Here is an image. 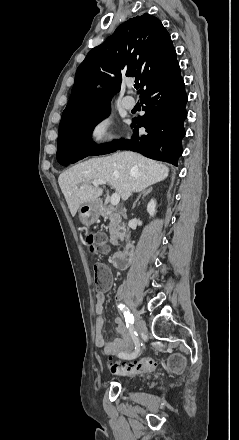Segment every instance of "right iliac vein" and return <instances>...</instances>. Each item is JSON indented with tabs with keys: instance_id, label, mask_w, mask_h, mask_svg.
<instances>
[{
	"instance_id": "1",
	"label": "right iliac vein",
	"mask_w": 239,
	"mask_h": 440,
	"mask_svg": "<svg viewBox=\"0 0 239 440\" xmlns=\"http://www.w3.org/2000/svg\"><path fill=\"white\" fill-rule=\"evenodd\" d=\"M145 328H146L145 322L142 319H140L139 317H137L136 321H135L136 331L140 334L145 330Z\"/></svg>"
}]
</instances>
